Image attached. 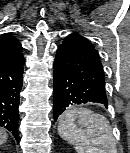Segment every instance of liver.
<instances>
[{
  "label": "liver",
  "instance_id": "obj_1",
  "mask_svg": "<svg viewBox=\"0 0 130 153\" xmlns=\"http://www.w3.org/2000/svg\"><path fill=\"white\" fill-rule=\"evenodd\" d=\"M7 138V133L3 129H0V146L7 141Z\"/></svg>",
  "mask_w": 130,
  "mask_h": 153
}]
</instances>
